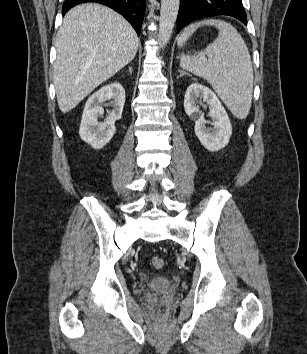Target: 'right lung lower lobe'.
Here are the masks:
<instances>
[{
  "label": "right lung lower lobe",
  "instance_id": "98d812e1",
  "mask_svg": "<svg viewBox=\"0 0 307 354\" xmlns=\"http://www.w3.org/2000/svg\"><path fill=\"white\" fill-rule=\"evenodd\" d=\"M85 2H97L114 9L129 21L138 35L140 34L145 13V0H65L62 8L63 15L71 7Z\"/></svg>",
  "mask_w": 307,
  "mask_h": 354
}]
</instances>
